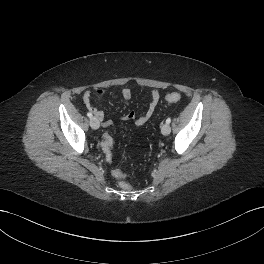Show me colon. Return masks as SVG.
<instances>
[{
	"instance_id": "1",
	"label": "colon",
	"mask_w": 264,
	"mask_h": 264,
	"mask_svg": "<svg viewBox=\"0 0 264 264\" xmlns=\"http://www.w3.org/2000/svg\"><path fill=\"white\" fill-rule=\"evenodd\" d=\"M166 100L170 103H176V102H179L181 100V95L177 92H171V93H168L166 95ZM101 146H102V149H103L105 155H112L113 138L111 137L110 134L105 133L103 135ZM116 178L124 179L125 174L123 172L119 171L116 174ZM120 187L124 190H127V191L131 190V188H132L131 184L126 182V181H121Z\"/></svg>"
}]
</instances>
